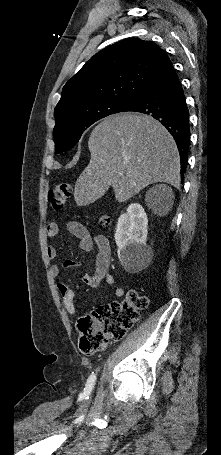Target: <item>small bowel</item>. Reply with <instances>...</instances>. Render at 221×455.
I'll return each mask as SVG.
<instances>
[{
    "label": "small bowel",
    "instance_id": "small-bowel-1",
    "mask_svg": "<svg viewBox=\"0 0 221 455\" xmlns=\"http://www.w3.org/2000/svg\"><path fill=\"white\" fill-rule=\"evenodd\" d=\"M67 227L68 230L79 239V248L82 251H91L94 245L97 247L95 268L91 273H82V281L91 288H97L103 283L113 285L115 279L110 272L111 248L108 239L104 235H96L95 237L91 236L87 228L77 221L69 222ZM57 234V225L54 223L49 224L46 228L47 237L49 239H53L57 236ZM47 257L51 261L56 260L58 257V249L55 246H49L47 248ZM79 265V262L71 260L65 261L62 266L52 264L50 267V273L52 276L58 277L63 270L76 268ZM57 287L61 294L66 311L71 315L76 314L77 309L74 304V291L63 281H59ZM114 294L116 297H122L124 295V289L117 286L114 289Z\"/></svg>",
    "mask_w": 221,
    "mask_h": 455
}]
</instances>
